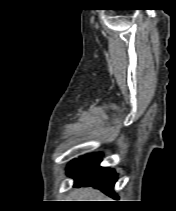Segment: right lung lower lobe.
<instances>
[{"instance_id": "1", "label": "right lung lower lobe", "mask_w": 176, "mask_h": 211, "mask_svg": "<svg viewBox=\"0 0 176 211\" xmlns=\"http://www.w3.org/2000/svg\"><path fill=\"white\" fill-rule=\"evenodd\" d=\"M101 160L99 153L76 159L69 163L67 175L74 178L76 187L93 186L117 198L113 191L117 180L116 173L112 169L99 166Z\"/></svg>"}]
</instances>
